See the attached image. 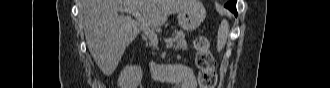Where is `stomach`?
Returning a JSON list of instances; mask_svg holds the SVG:
<instances>
[{"label":"stomach","mask_w":330,"mask_h":88,"mask_svg":"<svg viewBox=\"0 0 330 88\" xmlns=\"http://www.w3.org/2000/svg\"><path fill=\"white\" fill-rule=\"evenodd\" d=\"M206 11L199 0H191L187 9L178 15L179 26L185 31H193L204 21Z\"/></svg>","instance_id":"stomach-1"}]
</instances>
